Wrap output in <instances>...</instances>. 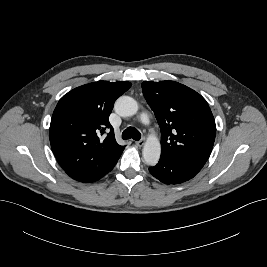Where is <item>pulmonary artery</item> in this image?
Here are the masks:
<instances>
[{
	"instance_id": "pulmonary-artery-1",
	"label": "pulmonary artery",
	"mask_w": 267,
	"mask_h": 267,
	"mask_svg": "<svg viewBox=\"0 0 267 267\" xmlns=\"http://www.w3.org/2000/svg\"><path fill=\"white\" fill-rule=\"evenodd\" d=\"M141 120H142L143 123H147L149 119H148V116L146 114H142L141 115Z\"/></svg>"
}]
</instances>
